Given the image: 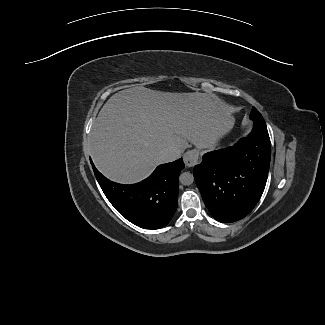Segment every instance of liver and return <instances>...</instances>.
Segmentation results:
<instances>
[{"mask_svg": "<svg viewBox=\"0 0 325 325\" xmlns=\"http://www.w3.org/2000/svg\"><path fill=\"white\" fill-rule=\"evenodd\" d=\"M233 125L229 108L206 93H171L132 87L112 95L100 110L88 139L97 169L112 181L132 184L164 161L180 156L188 142L206 148L219 130Z\"/></svg>", "mask_w": 325, "mask_h": 325, "instance_id": "liver-1", "label": "liver"}]
</instances>
